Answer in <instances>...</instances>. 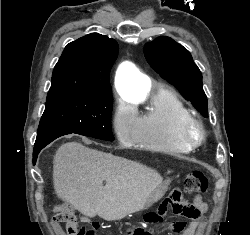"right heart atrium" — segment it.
Returning a JSON list of instances; mask_svg holds the SVG:
<instances>
[{
	"instance_id": "1",
	"label": "right heart atrium",
	"mask_w": 250,
	"mask_h": 235,
	"mask_svg": "<svg viewBox=\"0 0 250 235\" xmlns=\"http://www.w3.org/2000/svg\"><path fill=\"white\" fill-rule=\"evenodd\" d=\"M111 124L118 141L123 145L134 144L138 136V115L125 103L117 101Z\"/></svg>"
}]
</instances>
